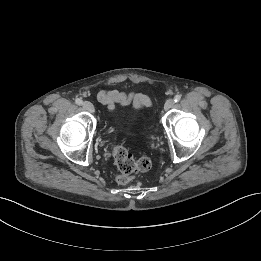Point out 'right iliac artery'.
Here are the masks:
<instances>
[{"label": "right iliac artery", "mask_w": 261, "mask_h": 261, "mask_svg": "<svg viewBox=\"0 0 261 261\" xmlns=\"http://www.w3.org/2000/svg\"><path fill=\"white\" fill-rule=\"evenodd\" d=\"M75 102H76V104H78V105H82V99H80V98H77V99L75 100Z\"/></svg>", "instance_id": "1"}]
</instances>
